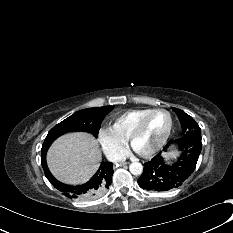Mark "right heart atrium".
Here are the masks:
<instances>
[{"instance_id": "right-heart-atrium-1", "label": "right heart atrium", "mask_w": 233, "mask_h": 233, "mask_svg": "<svg viewBox=\"0 0 233 233\" xmlns=\"http://www.w3.org/2000/svg\"><path fill=\"white\" fill-rule=\"evenodd\" d=\"M98 140L104 154L112 161L120 160L126 150L124 143L116 139L109 131L101 130Z\"/></svg>"}]
</instances>
